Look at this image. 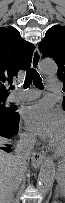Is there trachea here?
Returning a JSON list of instances; mask_svg holds the SVG:
<instances>
[{
    "instance_id": "1",
    "label": "trachea",
    "mask_w": 65,
    "mask_h": 203,
    "mask_svg": "<svg viewBox=\"0 0 65 203\" xmlns=\"http://www.w3.org/2000/svg\"><path fill=\"white\" fill-rule=\"evenodd\" d=\"M32 82L37 88L39 89L43 88L42 78L35 69L27 70L23 88L24 89L28 88L32 84Z\"/></svg>"
}]
</instances>
